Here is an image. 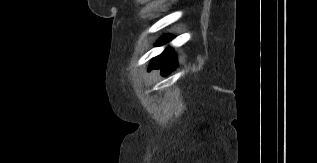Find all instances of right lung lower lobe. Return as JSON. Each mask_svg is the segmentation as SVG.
<instances>
[{
  "instance_id": "1",
  "label": "right lung lower lobe",
  "mask_w": 317,
  "mask_h": 163,
  "mask_svg": "<svg viewBox=\"0 0 317 163\" xmlns=\"http://www.w3.org/2000/svg\"><path fill=\"white\" fill-rule=\"evenodd\" d=\"M172 37H166L160 41V45L170 41ZM177 67L176 57L171 53V49L167 48L161 55L156 57L152 62V68H161L163 74H168Z\"/></svg>"
}]
</instances>
